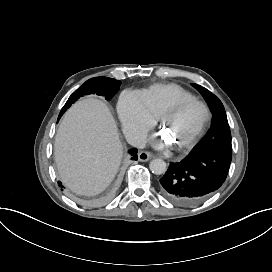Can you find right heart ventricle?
<instances>
[{
	"instance_id": "1",
	"label": "right heart ventricle",
	"mask_w": 272,
	"mask_h": 272,
	"mask_svg": "<svg viewBox=\"0 0 272 272\" xmlns=\"http://www.w3.org/2000/svg\"><path fill=\"white\" fill-rule=\"evenodd\" d=\"M147 107L156 117L175 99H194V96L176 84H157L140 92Z\"/></svg>"
}]
</instances>
